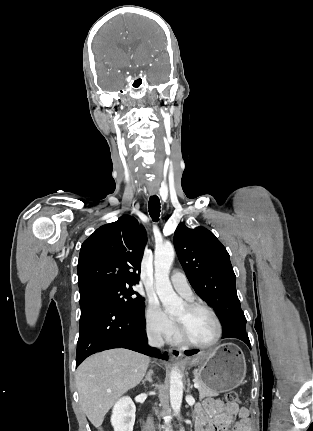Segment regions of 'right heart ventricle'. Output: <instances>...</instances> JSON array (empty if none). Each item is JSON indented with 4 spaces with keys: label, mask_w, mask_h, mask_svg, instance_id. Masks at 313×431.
I'll list each match as a JSON object with an SVG mask.
<instances>
[{
    "label": "right heart ventricle",
    "mask_w": 313,
    "mask_h": 431,
    "mask_svg": "<svg viewBox=\"0 0 313 431\" xmlns=\"http://www.w3.org/2000/svg\"><path fill=\"white\" fill-rule=\"evenodd\" d=\"M172 342H179V339H178V337H177V334L175 333L173 336H171L170 338H169Z\"/></svg>",
    "instance_id": "e07e8e85"
}]
</instances>
